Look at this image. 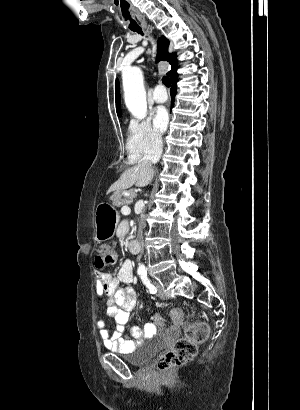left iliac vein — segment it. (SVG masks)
<instances>
[{"instance_id":"obj_1","label":"left iliac vein","mask_w":300,"mask_h":410,"mask_svg":"<svg viewBox=\"0 0 300 410\" xmlns=\"http://www.w3.org/2000/svg\"><path fill=\"white\" fill-rule=\"evenodd\" d=\"M156 287H157V289H158V296H159L161 299H164V300L167 299L168 297H167V295L164 293L162 286H161L160 284H157Z\"/></svg>"}]
</instances>
